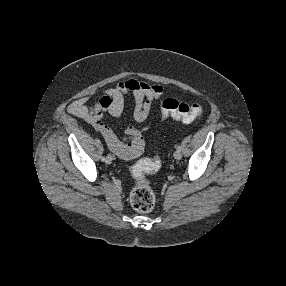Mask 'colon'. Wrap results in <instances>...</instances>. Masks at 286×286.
<instances>
[{
	"label": "colon",
	"instance_id": "1",
	"mask_svg": "<svg viewBox=\"0 0 286 286\" xmlns=\"http://www.w3.org/2000/svg\"><path fill=\"white\" fill-rule=\"evenodd\" d=\"M202 112L203 106L200 103H182L174 99L164 100L160 109L162 118L173 117L186 123L197 119ZM159 167L157 159H141L135 166L137 184L131 192L130 202L139 213H148L155 206V193L144 179V174L155 173Z\"/></svg>",
	"mask_w": 286,
	"mask_h": 286
}]
</instances>
